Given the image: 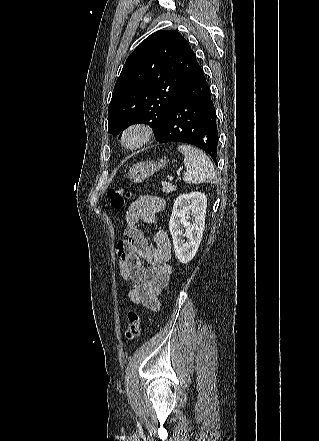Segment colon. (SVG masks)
Segmentation results:
<instances>
[{"instance_id":"obj_1","label":"colon","mask_w":319,"mask_h":441,"mask_svg":"<svg viewBox=\"0 0 319 441\" xmlns=\"http://www.w3.org/2000/svg\"><path fill=\"white\" fill-rule=\"evenodd\" d=\"M109 204L114 212L121 211L130 198V192L127 188L111 189L107 193ZM128 323L125 328V338L129 341L139 336L141 328V318L137 311L130 310L127 315Z\"/></svg>"}]
</instances>
